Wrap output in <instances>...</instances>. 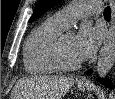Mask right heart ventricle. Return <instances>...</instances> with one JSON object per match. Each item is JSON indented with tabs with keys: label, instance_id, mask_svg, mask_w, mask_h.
<instances>
[{
	"label": "right heart ventricle",
	"instance_id": "e07e8e85",
	"mask_svg": "<svg viewBox=\"0 0 115 99\" xmlns=\"http://www.w3.org/2000/svg\"><path fill=\"white\" fill-rule=\"evenodd\" d=\"M64 29L48 19L32 30L23 49L26 72L32 75H50L60 70L53 58V48Z\"/></svg>",
	"mask_w": 115,
	"mask_h": 99
}]
</instances>
